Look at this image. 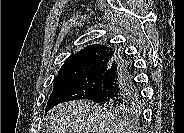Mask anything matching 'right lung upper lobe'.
I'll list each match as a JSON object with an SVG mask.
<instances>
[{
  "mask_svg": "<svg viewBox=\"0 0 184 133\" xmlns=\"http://www.w3.org/2000/svg\"><path fill=\"white\" fill-rule=\"evenodd\" d=\"M114 54L115 49L107 45L87 46L65 60L54 81L92 74H104L109 68Z\"/></svg>",
  "mask_w": 184,
  "mask_h": 133,
  "instance_id": "1",
  "label": "right lung upper lobe"
}]
</instances>
